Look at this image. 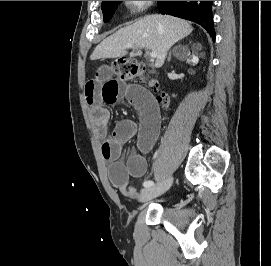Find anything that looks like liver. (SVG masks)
Here are the masks:
<instances>
[{
  "label": "liver",
  "instance_id": "1",
  "mask_svg": "<svg viewBox=\"0 0 271 266\" xmlns=\"http://www.w3.org/2000/svg\"><path fill=\"white\" fill-rule=\"evenodd\" d=\"M192 31L191 24L183 19L161 14L148 15L103 40L95 48L91 60L125 56L124 46L131 44L137 49L136 55H140L143 48L155 51V67L160 68L168 50Z\"/></svg>",
  "mask_w": 271,
  "mask_h": 266
}]
</instances>
